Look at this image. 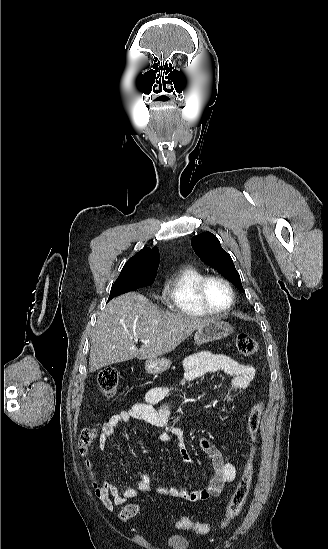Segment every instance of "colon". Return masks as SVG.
I'll return each instance as SVG.
<instances>
[{
    "label": "colon",
    "mask_w": 328,
    "mask_h": 549,
    "mask_svg": "<svg viewBox=\"0 0 328 549\" xmlns=\"http://www.w3.org/2000/svg\"><path fill=\"white\" fill-rule=\"evenodd\" d=\"M236 348L242 356H252L257 352L258 345L251 336L247 334H239L236 338ZM98 386L100 392L105 397L114 396L119 386L118 372L112 368H107L100 371L98 375ZM263 409V402H258L249 412L246 423L249 438V450L247 454V460L243 474L236 486L234 493L229 499L225 515L218 524L220 528L228 526L238 516L249 494L254 474L258 429ZM95 435V429L92 427H86L82 430L79 436V448L82 454L86 455L88 453L94 441ZM97 494H99V491H97ZM139 510L140 506L136 503L125 504L119 513V518L121 521L130 520L139 513ZM175 524L178 528L191 530L201 535L207 534L212 530L211 524L196 522L187 517H179L176 520Z\"/></svg>",
    "instance_id": "colon-1"
}]
</instances>
